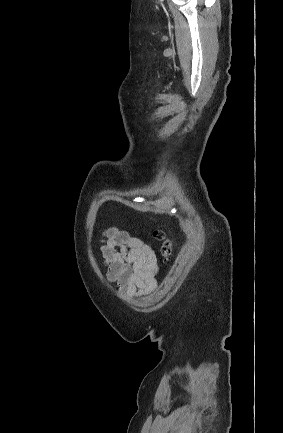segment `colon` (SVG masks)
I'll return each mask as SVG.
<instances>
[{
  "instance_id": "obj_1",
  "label": "colon",
  "mask_w": 283,
  "mask_h": 433,
  "mask_svg": "<svg viewBox=\"0 0 283 433\" xmlns=\"http://www.w3.org/2000/svg\"><path fill=\"white\" fill-rule=\"evenodd\" d=\"M154 238L160 242V252L164 258H169L173 252V243L167 237L166 233L163 230H155L153 232Z\"/></svg>"
}]
</instances>
